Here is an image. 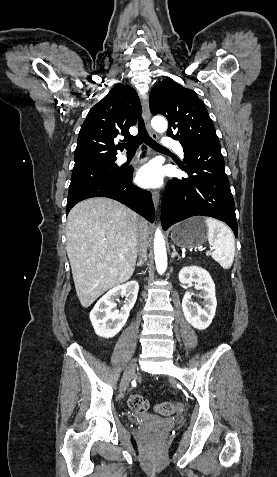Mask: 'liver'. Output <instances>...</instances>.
<instances>
[{
	"instance_id": "obj_1",
	"label": "liver",
	"mask_w": 277,
	"mask_h": 477,
	"mask_svg": "<svg viewBox=\"0 0 277 477\" xmlns=\"http://www.w3.org/2000/svg\"><path fill=\"white\" fill-rule=\"evenodd\" d=\"M141 224L148 233L147 223L135 212L109 198H90L71 209L66 249L76 293L84 308L131 278Z\"/></svg>"
}]
</instances>
